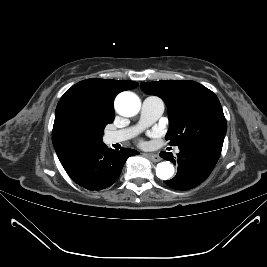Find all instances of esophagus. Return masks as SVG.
Wrapping results in <instances>:
<instances>
[{
  "label": "esophagus",
  "instance_id": "34e87169",
  "mask_svg": "<svg viewBox=\"0 0 267 267\" xmlns=\"http://www.w3.org/2000/svg\"><path fill=\"white\" fill-rule=\"evenodd\" d=\"M145 155L153 162H159L161 160L160 156L157 154L147 153Z\"/></svg>",
  "mask_w": 267,
  "mask_h": 267
}]
</instances>
